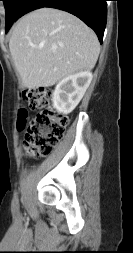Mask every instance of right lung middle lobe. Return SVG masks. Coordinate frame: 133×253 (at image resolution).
I'll use <instances>...</instances> for the list:
<instances>
[{"label": "right lung middle lobe", "mask_w": 133, "mask_h": 253, "mask_svg": "<svg viewBox=\"0 0 133 253\" xmlns=\"http://www.w3.org/2000/svg\"><path fill=\"white\" fill-rule=\"evenodd\" d=\"M5 7L6 32L18 20L19 9L24 0H1Z\"/></svg>", "instance_id": "1"}]
</instances>
